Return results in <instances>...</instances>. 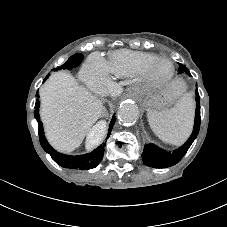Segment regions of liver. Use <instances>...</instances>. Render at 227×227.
I'll return each mask as SVG.
<instances>
[{
    "label": "liver",
    "instance_id": "liver-1",
    "mask_svg": "<svg viewBox=\"0 0 227 227\" xmlns=\"http://www.w3.org/2000/svg\"><path fill=\"white\" fill-rule=\"evenodd\" d=\"M41 99V116L48 139L63 152H72L80 146L104 109L95 96L66 75L53 76L47 81L41 89ZM169 99L172 101L173 96ZM104 131L103 127L93 146L102 141Z\"/></svg>",
    "mask_w": 227,
    "mask_h": 227
}]
</instances>
